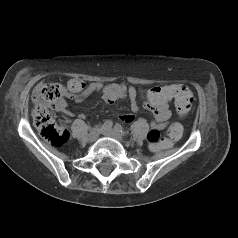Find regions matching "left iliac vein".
Here are the masks:
<instances>
[{
	"label": "left iliac vein",
	"instance_id": "1",
	"mask_svg": "<svg viewBox=\"0 0 238 238\" xmlns=\"http://www.w3.org/2000/svg\"><path fill=\"white\" fill-rule=\"evenodd\" d=\"M102 133L105 136L118 140L119 142H124L122 134L114 129H104Z\"/></svg>",
	"mask_w": 238,
	"mask_h": 238
}]
</instances>
